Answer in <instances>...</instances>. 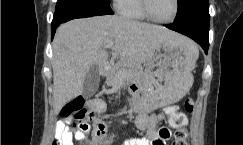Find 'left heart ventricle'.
<instances>
[{"mask_svg":"<svg viewBox=\"0 0 243 145\" xmlns=\"http://www.w3.org/2000/svg\"><path fill=\"white\" fill-rule=\"evenodd\" d=\"M149 9L158 20H168L174 12V0H149Z\"/></svg>","mask_w":243,"mask_h":145,"instance_id":"b2bd125f","label":"left heart ventricle"}]
</instances>
